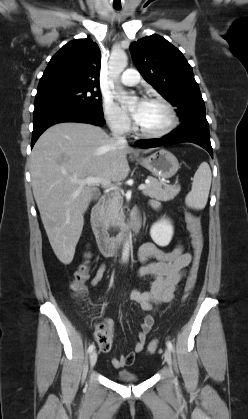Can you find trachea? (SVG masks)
Segmentation results:
<instances>
[{"instance_id": "trachea-1", "label": "trachea", "mask_w": 248, "mask_h": 419, "mask_svg": "<svg viewBox=\"0 0 248 419\" xmlns=\"http://www.w3.org/2000/svg\"><path fill=\"white\" fill-rule=\"evenodd\" d=\"M114 9H116V10H120V9H121V7H120V6H114Z\"/></svg>"}]
</instances>
